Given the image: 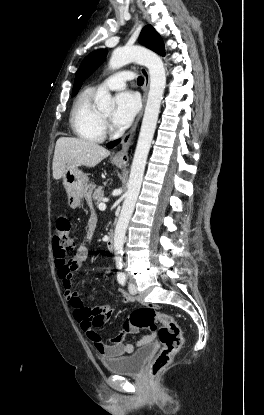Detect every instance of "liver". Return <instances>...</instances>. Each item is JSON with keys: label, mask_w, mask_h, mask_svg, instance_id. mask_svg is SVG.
<instances>
[{"label": "liver", "mask_w": 264, "mask_h": 415, "mask_svg": "<svg viewBox=\"0 0 264 415\" xmlns=\"http://www.w3.org/2000/svg\"><path fill=\"white\" fill-rule=\"evenodd\" d=\"M109 155V150L92 141L61 137L57 140L54 151L53 178H62L67 165L95 167Z\"/></svg>", "instance_id": "6515ba94"}]
</instances>
